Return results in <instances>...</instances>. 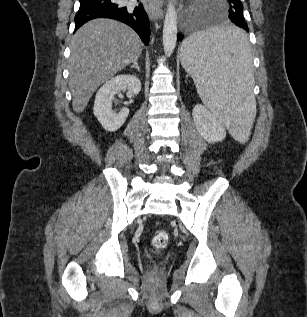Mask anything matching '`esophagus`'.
I'll return each instance as SVG.
<instances>
[{
	"label": "esophagus",
	"mask_w": 307,
	"mask_h": 317,
	"mask_svg": "<svg viewBox=\"0 0 307 317\" xmlns=\"http://www.w3.org/2000/svg\"><path fill=\"white\" fill-rule=\"evenodd\" d=\"M146 12L150 19H159L162 16L161 0H143Z\"/></svg>",
	"instance_id": "1"
}]
</instances>
